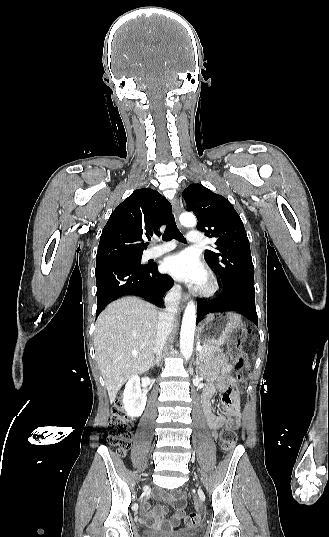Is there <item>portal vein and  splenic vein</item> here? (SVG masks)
Returning <instances> with one entry per match:
<instances>
[{
	"mask_svg": "<svg viewBox=\"0 0 329 537\" xmlns=\"http://www.w3.org/2000/svg\"><path fill=\"white\" fill-rule=\"evenodd\" d=\"M197 350H198V351H201V350H202V347H201V346H197ZM132 355H133V356H137V352H133Z\"/></svg>",
	"mask_w": 329,
	"mask_h": 537,
	"instance_id": "18ae733b",
	"label": "portal vein and splenic vein"
}]
</instances>
